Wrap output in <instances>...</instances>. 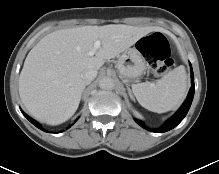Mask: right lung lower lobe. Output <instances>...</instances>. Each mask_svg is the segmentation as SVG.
<instances>
[{
    "label": "right lung lower lobe",
    "instance_id": "right-lung-lower-lobe-1",
    "mask_svg": "<svg viewBox=\"0 0 219 174\" xmlns=\"http://www.w3.org/2000/svg\"><path fill=\"white\" fill-rule=\"evenodd\" d=\"M22 113H23L24 116H25L32 124H34L37 128H39V129H41V130L47 132L46 130H44V129L41 127V125H40L38 122H36L35 120H33L32 118H30L29 116H27L23 111H22Z\"/></svg>",
    "mask_w": 219,
    "mask_h": 174
}]
</instances>
